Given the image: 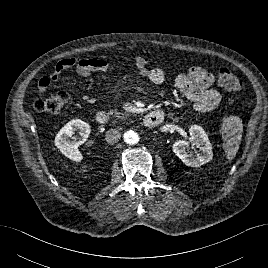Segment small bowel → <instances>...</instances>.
<instances>
[{
	"label": "small bowel",
	"instance_id": "obj_1",
	"mask_svg": "<svg viewBox=\"0 0 268 268\" xmlns=\"http://www.w3.org/2000/svg\"><path fill=\"white\" fill-rule=\"evenodd\" d=\"M150 58L146 55L135 57V72L140 77L149 79L154 84H161L165 80V72L161 68H150ZM110 63L102 57L80 58L69 57L59 61L49 76L39 79L37 89L44 93L52 81H56L63 72L74 70L82 78L89 77L93 72H107ZM213 75L201 67H190L186 73H179L175 77V85L191 102L194 108L201 112L211 111L219 102L218 92L212 88ZM41 88V89H40ZM82 100L92 104L95 97L84 94Z\"/></svg>",
	"mask_w": 268,
	"mask_h": 268
}]
</instances>
